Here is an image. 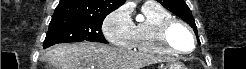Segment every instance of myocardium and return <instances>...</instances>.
Here are the masks:
<instances>
[{
	"mask_svg": "<svg viewBox=\"0 0 246 69\" xmlns=\"http://www.w3.org/2000/svg\"><path fill=\"white\" fill-rule=\"evenodd\" d=\"M176 25L183 27L190 35L191 42H195L194 34L190 26L182 20L174 17L164 20L154 32L153 38L157 44L173 54H188L193 51V49L191 51H181L174 47L168 40V34L170 30Z\"/></svg>",
	"mask_w": 246,
	"mask_h": 69,
	"instance_id": "1",
	"label": "myocardium"
}]
</instances>
